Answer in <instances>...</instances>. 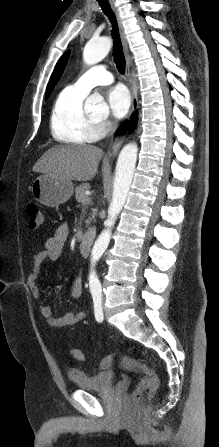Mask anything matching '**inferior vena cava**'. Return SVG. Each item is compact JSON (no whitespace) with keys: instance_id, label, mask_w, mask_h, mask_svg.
I'll return each mask as SVG.
<instances>
[{"instance_id":"obj_1","label":"inferior vena cava","mask_w":219,"mask_h":447,"mask_svg":"<svg viewBox=\"0 0 219 447\" xmlns=\"http://www.w3.org/2000/svg\"><path fill=\"white\" fill-rule=\"evenodd\" d=\"M113 132H114V128H113L112 131H111V135L113 134Z\"/></svg>"}]
</instances>
